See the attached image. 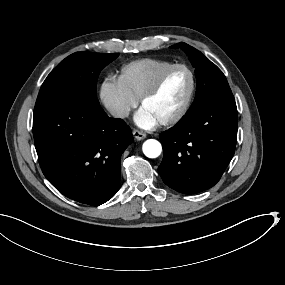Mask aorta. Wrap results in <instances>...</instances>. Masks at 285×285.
<instances>
[{
  "mask_svg": "<svg viewBox=\"0 0 285 285\" xmlns=\"http://www.w3.org/2000/svg\"><path fill=\"white\" fill-rule=\"evenodd\" d=\"M162 152L161 144L155 139L146 140L143 143V153L149 158H156Z\"/></svg>",
  "mask_w": 285,
  "mask_h": 285,
  "instance_id": "obj_1",
  "label": "aorta"
}]
</instances>
